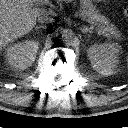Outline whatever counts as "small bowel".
I'll use <instances>...</instances> for the list:
<instances>
[{
  "instance_id": "1",
  "label": "small bowel",
  "mask_w": 128,
  "mask_h": 128,
  "mask_svg": "<svg viewBox=\"0 0 128 128\" xmlns=\"http://www.w3.org/2000/svg\"><path fill=\"white\" fill-rule=\"evenodd\" d=\"M94 1H96V2H103V1H105V0H94Z\"/></svg>"
}]
</instances>
